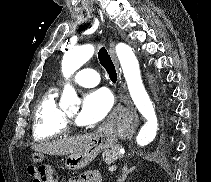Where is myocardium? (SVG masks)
<instances>
[{"label": "myocardium", "mask_w": 211, "mask_h": 182, "mask_svg": "<svg viewBox=\"0 0 211 182\" xmlns=\"http://www.w3.org/2000/svg\"><path fill=\"white\" fill-rule=\"evenodd\" d=\"M64 118H65V131H73L76 128V124L73 120L72 117H70L69 115L64 114Z\"/></svg>", "instance_id": "f54148a6"}]
</instances>
